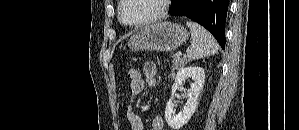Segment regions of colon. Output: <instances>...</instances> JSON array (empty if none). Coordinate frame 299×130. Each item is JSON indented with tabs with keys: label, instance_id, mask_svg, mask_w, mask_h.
<instances>
[{
	"label": "colon",
	"instance_id": "obj_1",
	"mask_svg": "<svg viewBox=\"0 0 299 130\" xmlns=\"http://www.w3.org/2000/svg\"><path fill=\"white\" fill-rule=\"evenodd\" d=\"M127 75H128V79L130 81V84L137 83L142 78L140 71L136 68H133V67L128 70Z\"/></svg>",
	"mask_w": 299,
	"mask_h": 130
}]
</instances>
